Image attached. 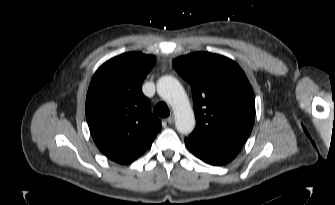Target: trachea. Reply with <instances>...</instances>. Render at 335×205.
I'll return each instance as SVG.
<instances>
[{"mask_svg":"<svg viewBox=\"0 0 335 205\" xmlns=\"http://www.w3.org/2000/svg\"><path fill=\"white\" fill-rule=\"evenodd\" d=\"M154 114L160 117H168L170 111L165 102H159L153 109Z\"/></svg>","mask_w":335,"mask_h":205,"instance_id":"trachea-1","label":"trachea"}]
</instances>
